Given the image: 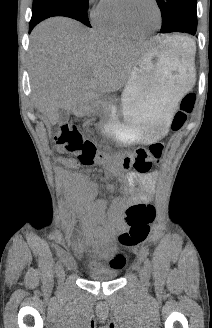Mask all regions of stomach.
<instances>
[{"mask_svg": "<svg viewBox=\"0 0 212 328\" xmlns=\"http://www.w3.org/2000/svg\"><path fill=\"white\" fill-rule=\"evenodd\" d=\"M193 55L163 40L139 58L115 102L113 127L124 145L154 142L165 136L179 99L195 83Z\"/></svg>", "mask_w": 212, "mask_h": 328, "instance_id": "0dacf381", "label": "stomach"}]
</instances>
